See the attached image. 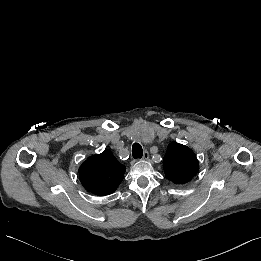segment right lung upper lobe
Listing matches in <instances>:
<instances>
[{"mask_svg": "<svg viewBox=\"0 0 261 261\" xmlns=\"http://www.w3.org/2000/svg\"><path fill=\"white\" fill-rule=\"evenodd\" d=\"M126 168L109 150L89 157L79 168L83 187L98 196L113 193L124 178Z\"/></svg>", "mask_w": 261, "mask_h": 261, "instance_id": "cb5924a9", "label": "right lung upper lobe"}]
</instances>
